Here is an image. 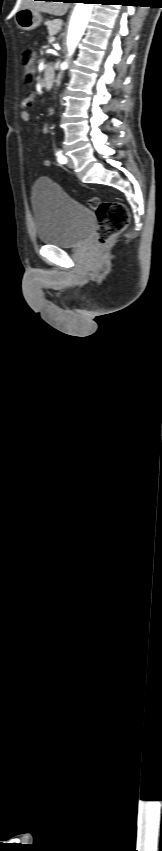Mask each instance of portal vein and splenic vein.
I'll use <instances>...</instances> for the list:
<instances>
[{"mask_svg": "<svg viewBox=\"0 0 162 851\" xmlns=\"http://www.w3.org/2000/svg\"><path fill=\"white\" fill-rule=\"evenodd\" d=\"M54 41H55V38H54V37H51L50 42L52 43V42H54Z\"/></svg>", "mask_w": 162, "mask_h": 851, "instance_id": "obj_1", "label": "portal vein and splenic vein"}]
</instances>
